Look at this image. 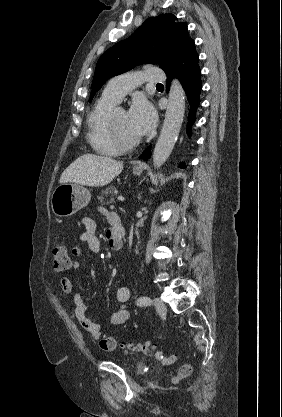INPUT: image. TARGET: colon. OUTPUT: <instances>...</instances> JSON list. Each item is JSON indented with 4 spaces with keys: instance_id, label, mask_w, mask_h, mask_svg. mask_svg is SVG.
Returning a JSON list of instances; mask_svg holds the SVG:
<instances>
[{
    "instance_id": "1",
    "label": "colon",
    "mask_w": 282,
    "mask_h": 417,
    "mask_svg": "<svg viewBox=\"0 0 282 417\" xmlns=\"http://www.w3.org/2000/svg\"><path fill=\"white\" fill-rule=\"evenodd\" d=\"M52 261L55 270L59 272L69 271L72 266V260L68 255L66 246L63 243H55L52 247ZM132 351L142 353L148 357H151L161 363L163 366H171L175 362V355H165L162 352L155 349L148 342H136L129 346ZM102 351L103 353H114L115 351V340L114 339H103L102 340ZM174 351L173 349L171 350ZM191 365L189 363L183 364L177 375V379H182L191 372Z\"/></svg>"
}]
</instances>
